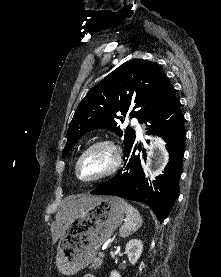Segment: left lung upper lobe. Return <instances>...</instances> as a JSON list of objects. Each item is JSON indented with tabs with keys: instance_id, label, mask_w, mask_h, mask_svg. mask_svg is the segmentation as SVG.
<instances>
[{
	"instance_id": "5c2ea615",
	"label": "left lung upper lobe",
	"mask_w": 221,
	"mask_h": 277,
	"mask_svg": "<svg viewBox=\"0 0 221 277\" xmlns=\"http://www.w3.org/2000/svg\"><path fill=\"white\" fill-rule=\"evenodd\" d=\"M174 92L158 64L142 59L127 61L93 87L81 101L67 132L63 157L90 130L107 128L122 137L119 124L124 122L126 114L146 123ZM134 142L135 131L127 128L124 134L126 154Z\"/></svg>"
}]
</instances>
